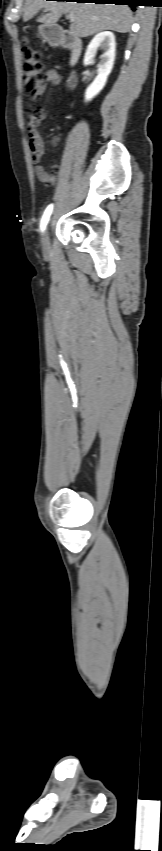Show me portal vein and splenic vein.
Here are the masks:
<instances>
[{
	"label": "portal vein and splenic vein",
	"instance_id": "1",
	"mask_svg": "<svg viewBox=\"0 0 162 851\" xmlns=\"http://www.w3.org/2000/svg\"><path fill=\"white\" fill-rule=\"evenodd\" d=\"M69 18L72 20L74 17L72 14H69Z\"/></svg>",
	"mask_w": 162,
	"mask_h": 851
}]
</instances>
